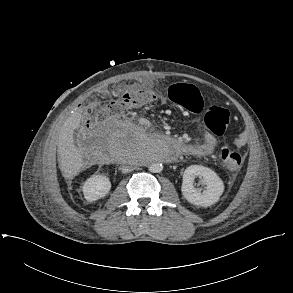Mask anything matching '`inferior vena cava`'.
Returning a JSON list of instances; mask_svg holds the SVG:
<instances>
[{
    "instance_id": "1",
    "label": "inferior vena cava",
    "mask_w": 293,
    "mask_h": 293,
    "mask_svg": "<svg viewBox=\"0 0 293 293\" xmlns=\"http://www.w3.org/2000/svg\"><path fill=\"white\" fill-rule=\"evenodd\" d=\"M133 170L132 164H126L121 167L122 173H128Z\"/></svg>"
}]
</instances>
